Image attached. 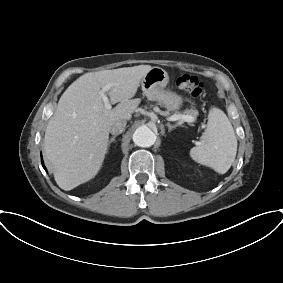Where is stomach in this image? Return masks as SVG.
Returning a JSON list of instances; mask_svg holds the SVG:
<instances>
[{
    "mask_svg": "<svg viewBox=\"0 0 283 283\" xmlns=\"http://www.w3.org/2000/svg\"><path fill=\"white\" fill-rule=\"evenodd\" d=\"M168 73L161 67H153L141 80L143 93L149 100L156 101L168 111H178L183 99L176 92L166 89Z\"/></svg>",
    "mask_w": 283,
    "mask_h": 283,
    "instance_id": "0dacf381",
    "label": "stomach"
}]
</instances>
